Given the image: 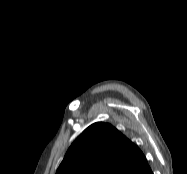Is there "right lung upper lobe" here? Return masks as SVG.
<instances>
[{
    "mask_svg": "<svg viewBox=\"0 0 187 174\" xmlns=\"http://www.w3.org/2000/svg\"><path fill=\"white\" fill-rule=\"evenodd\" d=\"M56 174H153L142 151L108 123L86 128Z\"/></svg>",
    "mask_w": 187,
    "mask_h": 174,
    "instance_id": "1",
    "label": "right lung upper lobe"
}]
</instances>
